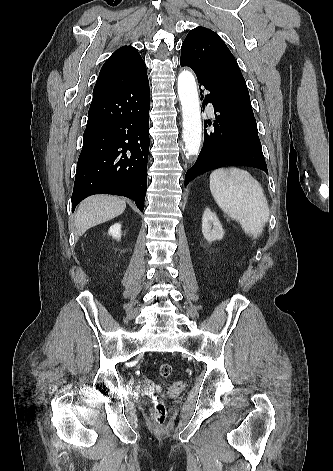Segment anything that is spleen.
<instances>
[{"instance_id":"spleen-1","label":"spleen","mask_w":333,"mask_h":471,"mask_svg":"<svg viewBox=\"0 0 333 471\" xmlns=\"http://www.w3.org/2000/svg\"><path fill=\"white\" fill-rule=\"evenodd\" d=\"M210 190L221 210L240 223L243 231L257 237L269 220V206L259 182L247 171L220 168L210 174Z\"/></svg>"}]
</instances>
